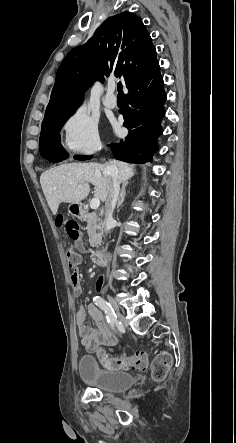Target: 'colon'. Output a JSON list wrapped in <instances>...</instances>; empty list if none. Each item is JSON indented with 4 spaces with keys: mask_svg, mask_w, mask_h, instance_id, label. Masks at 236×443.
I'll return each instance as SVG.
<instances>
[{
    "mask_svg": "<svg viewBox=\"0 0 236 443\" xmlns=\"http://www.w3.org/2000/svg\"><path fill=\"white\" fill-rule=\"evenodd\" d=\"M65 229L67 236L70 240L76 241L80 237V226L78 222L74 220L67 221L65 223ZM66 258L71 267H76L80 261V254L72 247L66 250ZM72 281H77L76 272L72 273ZM97 357L102 366L108 369H120V370H138L144 371L148 365V356L143 351H138L133 355H119L108 356L102 348L96 349ZM171 366V357L168 354H160L156 356L151 365L152 377L156 381H161L165 378L169 368Z\"/></svg>",
    "mask_w": 236,
    "mask_h": 443,
    "instance_id": "5ec220e1",
    "label": "colon"
}]
</instances>
